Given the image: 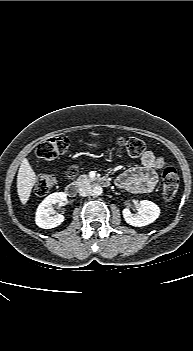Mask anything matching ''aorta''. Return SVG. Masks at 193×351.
<instances>
[{
  "mask_svg": "<svg viewBox=\"0 0 193 351\" xmlns=\"http://www.w3.org/2000/svg\"><path fill=\"white\" fill-rule=\"evenodd\" d=\"M93 195L99 196L102 194L103 189L101 186L96 185L93 189H92Z\"/></svg>",
  "mask_w": 193,
  "mask_h": 351,
  "instance_id": "1",
  "label": "aorta"
}]
</instances>
